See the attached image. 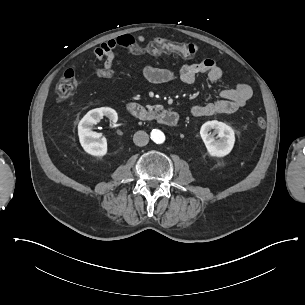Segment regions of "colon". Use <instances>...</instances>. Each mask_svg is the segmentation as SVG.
<instances>
[{
	"mask_svg": "<svg viewBox=\"0 0 305 305\" xmlns=\"http://www.w3.org/2000/svg\"><path fill=\"white\" fill-rule=\"evenodd\" d=\"M134 36L130 32H126L116 37L115 41L118 47L136 49L137 45L133 41ZM150 52L154 53H172L177 52L187 58L194 57L197 54V47L193 43H173L167 42L161 44V46H152L149 49ZM103 61V60H102ZM104 63V61H103ZM97 74L102 77L112 75L111 69H107L105 66L97 70ZM79 86V81L74 71L68 70L64 73L61 79L56 85V95L59 101H65L70 99L76 92ZM256 124L260 128L266 126V120L263 116L256 118Z\"/></svg>",
	"mask_w": 305,
	"mask_h": 305,
	"instance_id": "obj_1",
	"label": "colon"
}]
</instances>
